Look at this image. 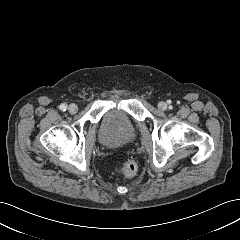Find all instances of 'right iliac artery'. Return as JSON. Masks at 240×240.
Instances as JSON below:
<instances>
[{
    "label": "right iliac artery",
    "mask_w": 240,
    "mask_h": 240,
    "mask_svg": "<svg viewBox=\"0 0 240 240\" xmlns=\"http://www.w3.org/2000/svg\"><path fill=\"white\" fill-rule=\"evenodd\" d=\"M59 108H60V110H62V111H66L67 105H66V104H61V105L59 106Z\"/></svg>",
    "instance_id": "1"
}]
</instances>
